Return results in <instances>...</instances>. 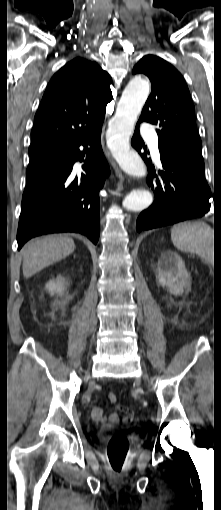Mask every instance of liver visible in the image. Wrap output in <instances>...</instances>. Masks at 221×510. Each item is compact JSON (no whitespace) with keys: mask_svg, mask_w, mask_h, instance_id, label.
Listing matches in <instances>:
<instances>
[{"mask_svg":"<svg viewBox=\"0 0 221 510\" xmlns=\"http://www.w3.org/2000/svg\"><path fill=\"white\" fill-rule=\"evenodd\" d=\"M74 249V240L64 235H51L28 242L22 250L24 277L29 278L43 268L62 260Z\"/></svg>","mask_w":221,"mask_h":510,"instance_id":"obj_1","label":"liver"}]
</instances>
